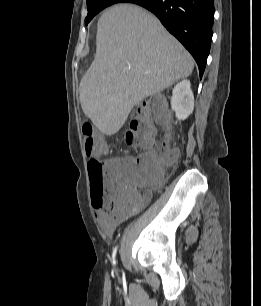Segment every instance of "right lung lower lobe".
Wrapping results in <instances>:
<instances>
[{"instance_id":"obj_1","label":"right lung lower lobe","mask_w":261,"mask_h":306,"mask_svg":"<svg viewBox=\"0 0 261 306\" xmlns=\"http://www.w3.org/2000/svg\"><path fill=\"white\" fill-rule=\"evenodd\" d=\"M153 12L167 30L192 54L200 77L209 55L214 19V0H134Z\"/></svg>"}]
</instances>
